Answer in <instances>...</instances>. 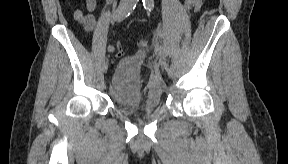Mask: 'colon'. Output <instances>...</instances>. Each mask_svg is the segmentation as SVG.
Here are the masks:
<instances>
[{"label": "colon", "instance_id": "1", "mask_svg": "<svg viewBox=\"0 0 288 164\" xmlns=\"http://www.w3.org/2000/svg\"><path fill=\"white\" fill-rule=\"evenodd\" d=\"M88 13L89 14H91L92 13V10H91V8H88ZM115 46H117L118 47V49H119V52H115L114 54L115 55H118V57H123L126 53L125 52H123V49H122V47H121V45H120V43H115Z\"/></svg>", "mask_w": 288, "mask_h": 164}]
</instances>
